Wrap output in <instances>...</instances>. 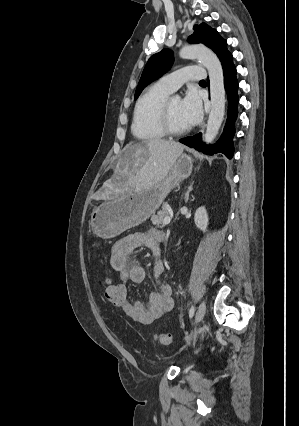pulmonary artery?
Masks as SVG:
<instances>
[{
  "mask_svg": "<svg viewBox=\"0 0 299 426\" xmlns=\"http://www.w3.org/2000/svg\"><path fill=\"white\" fill-rule=\"evenodd\" d=\"M204 78V69L200 66H186L164 75L159 83L170 92L176 91L187 81H198Z\"/></svg>",
  "mask_w": 299,
  "mask_h": 426,
  "instance_id": "e3ab8cb5",
  "label": "pulmonary artery"
}]
</instances>
